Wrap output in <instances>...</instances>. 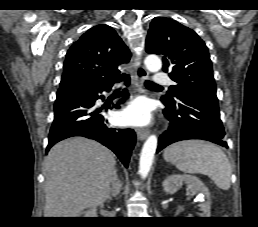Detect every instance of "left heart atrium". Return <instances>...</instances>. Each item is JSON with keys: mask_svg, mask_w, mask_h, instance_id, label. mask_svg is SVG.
Wrapping results in <instances>:
<instances>
[{"mask_svg": "<svg viewBox=\"0 0 258 227\" xmlns=\"http://www.w3.org/2000/svg\"><path fill=\"white\" fill-rule=\"evenodd\" d=\"M151 113L145 101L137 100L118 115V121L124 125H144L150 120Z\"/></svg>", "mask_w": 258, "mask_h": 227, "instance_id": "39dd6f15", "label": "left heart atrium"}]
</instances>
